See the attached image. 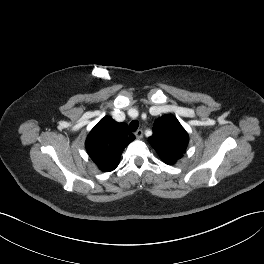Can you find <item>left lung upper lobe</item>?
Masks as SVG:
<instances>
[{
    "label": "left lung upper lobe",
    "instance_id": "obj_1",
    "mask_svg": "<svg viewBox=\"0 0 264 264\" xmlns=\"http://www.w3.org/2000/svg\"><path fill=\"white\" fill-rule=\"evenodd\" d=\"M188 142V133L172 115L158 118L153 127V135L149 138L151 146L168 165H173L183 157Z\"/></svg>",
    "mask_w": 264,
    "mask_h": 264
}]
</instances>
